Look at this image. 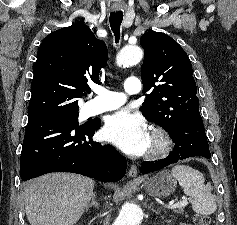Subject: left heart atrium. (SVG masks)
<instances>
[{"instance_id": "obj_1", "label": "left heart atrium", "mask_w": 237, "mask_h": 225, "mask_svg": "<svg viewBox=\"0 0 237 225\" xmlns=\"http://www.w3.org/2000/svg\"><path fill=\"white\" fill-rule=\"evenodd\" d=\"M105 139L130 155H141L149 146V132L137 114L121 110L111 115L103 128Z\"/></svg>"}]
</instances>
